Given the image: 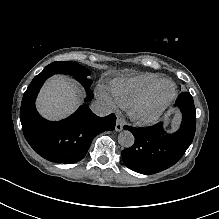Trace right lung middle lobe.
<instances>
[{"mask_svg": "<svg viewBox=\"0 0 219 219\" xmlns=\"http://www.w3.org/2000/svg\"><path fill=\"white\" fill-rule=\"evenodd\" d=\"M43 72L73 76L84 86H90L92 84V80L88 78L91 72L86 67L75 62H53L46 66Z\"/></svg>", "mask_w": 219, "mask_h": 219, "instance_id": "1", "label": "right lung middle lobe"}]
</instances>
